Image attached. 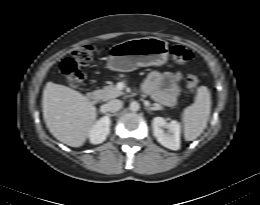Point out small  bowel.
Masks as SVG:
<instances>
[{
  "mask_svg": "<svg viewBox=\"0 0 260 205\" xmlns=\"http://www.w3.org/2000/svg\"><path fill=\"white\" fill-rule=\"evenodd\" d=\"M181 78V72L161 73L152 71L146 79L144 90L155 100L167 106H173L177 102L179 92L178 84Z\"/></svg>",
  "mask_w": 260,
  "mask_h": 205,
  "instance_id": "1",
  "label": "small bowel"
}]
</instances>
